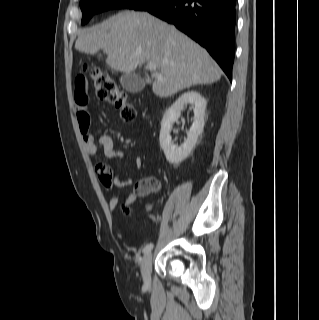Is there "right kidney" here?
Wrapping results in <instances>:
<instances>
[{
    "label": "right kidney",
    "mask_w": 319,
    "mask_h": 320,
    "mask_svg": "<svg viewBox=\"0 0 319 320\" xmlns=\"http://www.w3.org/2000/svg\"><path fill=\"white\" fill-rule=\"evenodd\" d=\"M186 104L193 107V124L187 133V139L181 146H176L171 139L170 131L172 124L180 117L181 111ZM205 98L196 91H188L182 94L165 112L160 131V146L164 151L166 159L173 165L180 164L192 152L196 145L198 136L204 129V116L206 109Z\"/></svg>",
    "instance_id": "obj_1"
}]
</instances>
